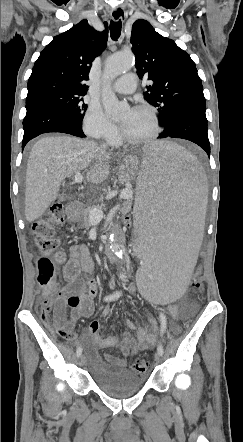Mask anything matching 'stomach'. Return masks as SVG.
I'll list each match as a JSON object with an SVG mask.
<instances>
[{
	"label": "stomach",
	"instance_id": "obj_1",
	"mask_svg": "<svg viewBox=\"0 0 243 442\" xmlns=\"http://www.w3.org/2000/svg\"><path fill=\"white\" fill-rule=\"evenodd\" d=\"M139 159L136 156L128 155L123 158L118 166V179L121 183L131 181L136 177V167Z\"/></svg>",
	"mask_w": 243,
	"mask_h": 442
}]
</instances>
